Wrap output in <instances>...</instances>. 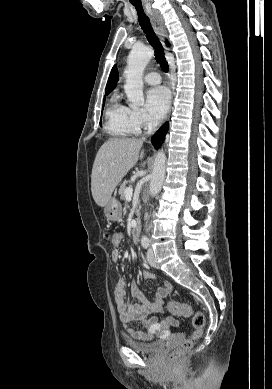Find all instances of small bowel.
Listing matches in <instances>:
<instances>
[{"label":"small bowel","mask_w":272,"mask_h":389,"mask_svg":"<svg viewBox=\"0 0 272 389\" xmlns=\"http://www.w3.org/2000/svg\"><path fill=\"white\" fill-rule=\"evenodd\" d=\"M121 258L119 251L115 250L112 253V260L118 262ZM144 278L155 279L152 273L144 272ZM132 293L138 298L137 302L127 304L126 297V283L120 279L114 287V296L117 306V311L123 325L125 332L132 338L148 341L151 340L160 328V323L174 324L175 320L171 317H157L155 314L163 311L164 299L172 290L168 282H164L158 288L155 298L149 302L141 294L138 284L132 281L130 284ZM135 321H142L145 331L136 330L132 323Z\"/></svg>","instance_id":"obj_1"}]
</instances>
